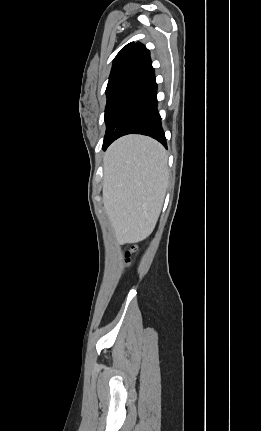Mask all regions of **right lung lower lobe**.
<instances>
[{"label": "right lung lower lobe", "instance_id": "right-lung-lower-lobe-1", "mask_svg": "<svg viewBox=\"0 0 261 431\" xmlns=\"http://www.w3.org/2000/svg\"><path fill=\"white\" fill-rule=\"evenodd\" d=\"M157 104L154 69L149 65L137 76L120 101L109 129V140L103 149L126 134L147 135L167 147Z\"/></svg>", "mask_w": 261, "mask_h": 431}]
</instances>
